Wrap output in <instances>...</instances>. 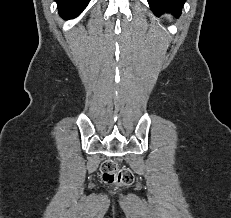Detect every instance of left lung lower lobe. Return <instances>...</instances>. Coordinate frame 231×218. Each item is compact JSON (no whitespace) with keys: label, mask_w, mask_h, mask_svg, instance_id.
Masks as SVG:
<instances>
[{"label":"left lung lower lobe","mask_w":231,"mask_h":218,"mask_svg":"<svg viewBox=\"0 0 231 218\" xmlns=\"http://www.w3.org/2000/svg\"><path fill=\"white\" fill-rule=\"evenodd\" d=\"M186 0H148V3L155 14L171 12L179 16Z\"/></svg>","instance_id":"obj_1"}]
</instances>
